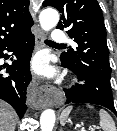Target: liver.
Instances as JSON below:
<instances>
[{"mask_svg":"<svg viewBox=\"0 0 117 131\" xmlns=\"http://www.w3.org/2000/svg\"><path fill=\"white\" fill-rule=\"evenodd\" d=\"M17 118L13 108L0 100V131H15Z\"/></svg>","mask_w":117,"mask_h":131,"instance_id":"6515ba94","label":"liver"}]
</instances>
